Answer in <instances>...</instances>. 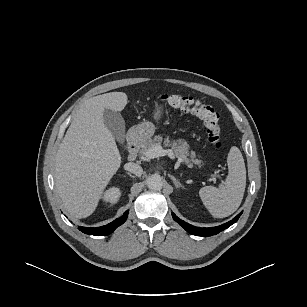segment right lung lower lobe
<instances>
[{"label": "right lung lower lobe", "instance_id": "obj_1", "mask_svg": "<svg viewBox=\"0 0 307 307\" xmlns=\"http://www.w3.org/2000/svg\"><path fill=\"white\" fill-rule=\"evenodd\" d=\"M128 216V211H126L120 218L115 219L113 222L97 227V228H91V227H81L79 226V230L82 231L85 234L89 235H95V236H102V235H109L112 233L118 226L123 224Z\"/></svg>", "mask_w": 307, "mask_h": 307}]
</instances>
